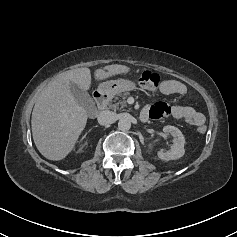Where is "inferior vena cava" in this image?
Returning a JSON list of instances; mask_svg holds the SVG:
<instances>
[{
	"label": "inferior vena cava",
	"mask_w": 237,
	"mask_h": 237,
	"mask_svg": "<svg viewBox=\"0 0 237 237\" xmlns=\"http://www.w3.org/2000/svg\"><path fill=\"white\" fill-rule=\"evenodd\" d=\"M97 120L100 125H109L116 121V114L112 111L105 110L99 113Z\"/></svg>",
	"instance_id": "obj_1"
}]
</instances>
